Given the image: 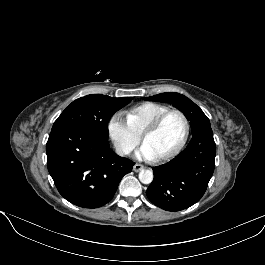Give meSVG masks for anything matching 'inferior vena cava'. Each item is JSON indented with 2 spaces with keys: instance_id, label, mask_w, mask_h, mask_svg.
<instances>
[{
  "instance_id": "obj_1",
  "label": "inferior vena cava",
  "mask_w": 265,
  "mask_h": 265,
  "mask_svg": "<svg viewBox=\"0 0 265 265\" xmlns=\"http://www.w3.org/2000/svg\"><path fill=\"white\" fill-rule=\"evenodd\" d=\"M114 147L116 154L119 156H125L130 153L129 147L124 143H115Z\"/></svg>"
}]
</instances>
